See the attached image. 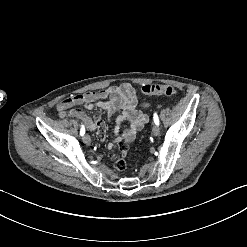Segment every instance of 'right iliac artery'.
I'll return each mask as SVG.
<instances>
[{"label": "right iliac artery", "instance_id": "right-iliac-artery-1", "mask_svg": "<svg viewBox=\"0 0 247 247\" xmlns=\"http://www.w3.org/2000/svg\"><path fill=\"white\" fill-rule=\"evenodd\" d=\"M84 134H85V128L84 125H82L80 129V135L83 136Z\"/></svg>", "mask_w": 247, "mask_h": 247}]
</instances>
